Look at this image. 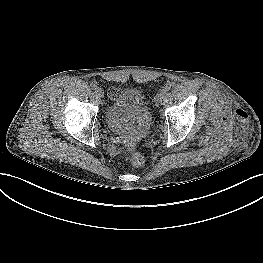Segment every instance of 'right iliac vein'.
Here are the masks:
<instances>
[{
    "label": "right iliac vein",
    "mask_w": 263,
    "mask_h": 263,
    "mask_svg": "<svg viewBox=\"0 0 263 263\" xmlns=\"http://www.w3.org/2000/svg\"><path fill=\"white\" fill-rule=\"evenodd\" d=\"M96 95L100 98L103 97V91L101 88L99 90H96Z\"/></svg>",
    "instance_id": "1"
}]
</instances>
